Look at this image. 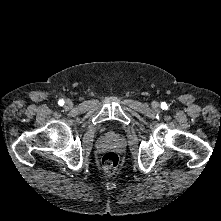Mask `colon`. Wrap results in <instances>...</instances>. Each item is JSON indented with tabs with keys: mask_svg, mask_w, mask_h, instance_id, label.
<instances>
[{
	"mask_svg": "<svg viewBox=\"0 0 221 221\" xmlns=\"http://www.w3.org/2000/svg\"><path fill=\"white\" fill-rule=\"evenodd\" d=\"M101 166L106 174H113L119 166V158L117 154L113 152L106 153L101 159Z\"/></svg>",
	"mask_w": 221,
	"mask_h": 221,
	"instance_id": "1",
	"label": "colon"
}]
</instances>
